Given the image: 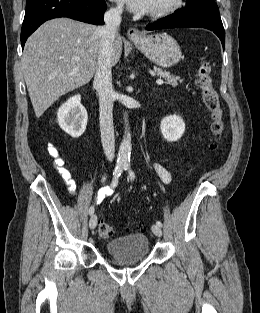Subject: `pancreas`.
Masks as SVG:
<instances>
[{
    "label": "pancreas",
    "mask_w": 260,
    "mask_h": 313,
    "mask_svg": "<svg viewBox=\"0 0 260 313\" xmlns=\"http://www.w3.org/2000/svg\"><path fill=\"white\" fill-rule=\"evenodd\" d=\"M154 72L158 75L163 77L166 80V83L171 85L172 87H177L179 85V83L182 82V80L180 79V77H177L175 75H171L169 72L167 71H163L160 68L154 67Z\"/></svg>",
    "instance_id": "1"
}]
</instances>
